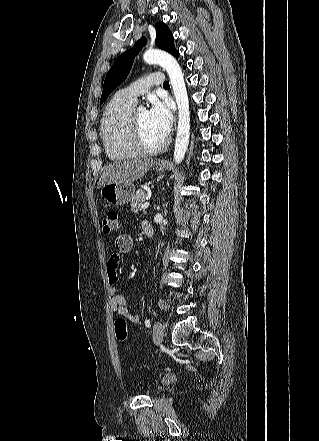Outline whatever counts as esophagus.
<instances>
[{
  "label": "esophagus",
  "instance_id": "esophagus-1",
  "mask_svg": "<svg viewBox=\"0 0 319 441\" xmlns=\"http://www.w3.org/2000/svg\"><path fill=\"white\" fill-rule=\"evenodd\" d=\"M158 164H159V165H163L164 162H163V161H158Z\"/></svg>",
  "mask_w": 319,
  "mask_h": 441
}]
</instances>
